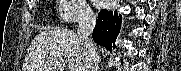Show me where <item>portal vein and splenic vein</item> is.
<instances>
[{
    "label": "portal vein and splenic vein",
    "mask_w": 181,
    "mask_h": 71,
    "mask_svg": "<svg viewBox=\"0 0 181 71\" xmlns=\"http://www.w3.org/2000/svg\"><path fill=\"white\" fill-rule=\"evenodd\" d=\"M53 57H56V58H58V59H60V60H63V58H62V55L61 54H59V53H52L51 54Z\"/></svg>",
    "instance_id": "obj_1"
}]
</instances>
